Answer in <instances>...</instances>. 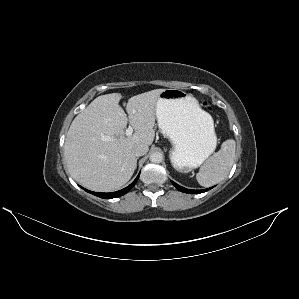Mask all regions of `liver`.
<instances>
[{
  "instance_id": "liver-1",
  "label": "liver",
  "mask_w": 299,
  "mask_h": 299,
  "mask_svg": "<svg viewBox=\"0 0 299 299\" xmlns=\"http://www.w3.org/2000/svg\"><path fill=\"white\" fill-rule=\"evenodd\" d=\"M164 89L135 95L126 110L119 101L120 93L95 98L70 125L64 144V158L69 173L84 187L98 192H111L125 185L136 169L134 148L150 146L155 137L156 103ZM129 121L135 129L126 136ZM111 138L104 141L103 137Z\"/></svg>"
}]
</instances>
